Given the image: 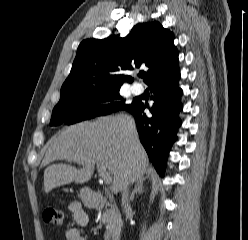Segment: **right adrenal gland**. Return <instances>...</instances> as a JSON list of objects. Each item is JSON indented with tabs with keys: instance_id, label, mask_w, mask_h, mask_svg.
<instances>
[{
	"instance_id": "1",
	"label": "right adrenal gland",
	"mask_w": 248,
	"mask_h": 240,
	"mask_svg": "<svg viewBox=\"0 0 248 240\" xmlns=\"http://www.w3.org/2000/svg\"><path fill=\"white\" fill-rule=\"evenodd\" d=\"M143 182H144V179H139L137 181V184L135 185V188L130 195L129 203L134 201L135 194H141L144 192Z\"/></svg>"
}]
</instances>
